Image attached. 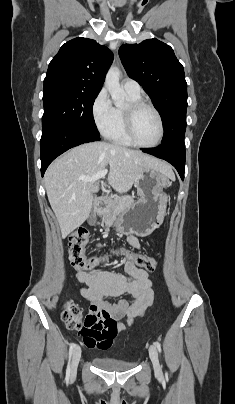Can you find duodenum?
<instances>
[{"label":"duodenum","instance_id":"duodenum-1","mask_svg":"<svg viewBox=\"0 0 235 404\" xmlns=\"http://www.w3.org/2000/svg\"><path fill=\"white\" fill-rule=\"evenodd\" d=\"M96 205L100 214H108L112 208L111 202L106 198H99Z\"/></svg>","mask_w":235,"mask_h":404}]
</instances>
